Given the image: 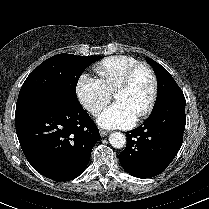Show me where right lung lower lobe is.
Instances as JSON below:
<instances>
[{
  "instance_id": "right-lung-lower-lobe-1",
  "label": "right lung lower lobe",
  "mask_w": 209,
  "mask_h": 209,
  "mask_svg": "<svg viewBox=\"0 0 209 209\" xmlns=\"http://www.w3.org/2000/svg\"><path fill=\"white\" fill-rule=\"evenodd\" d=\"M16 133L31 166L54 181L87 167L99 130L78 101L48 94L16 109Z\"/></svg>"
}]
</instances>
